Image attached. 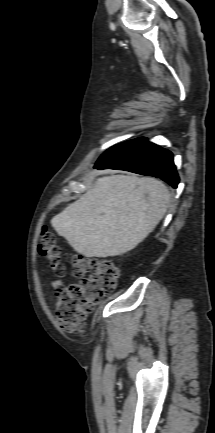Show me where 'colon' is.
<instances>
[{
  "mask_svg": "<svg viewBox=\"0 0 215 433\" xmlns=\"http://www.w3.org/2000/svg\"><path fill=\"white\" fill-rule=\"evenodd\" d=\"M38 251L56 275L65 274L57 238L45 226L40 232ZM72 274L80 278L78 284L59 286L54 291L58 325L69 332L82 328L94 307L114 290L120 271L110 259L75 256L72 258Z\"/></svg>",
  "mask_w": 215,
  "mask_h": 433,
  "instance_id": "1",
  "label": "colon"
}]
</instances>
